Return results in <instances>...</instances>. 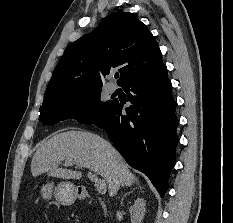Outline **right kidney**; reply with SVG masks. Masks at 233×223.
<instances>
[{
    "mask_svg": "<svg viewBox=\"0 0 233 223\" xmlns=\"http://www.w3.org/2000/svg\"><path fill=\"white\" fill-rule=\"evenodd\" d=\"M146 211V199L144 197H137L133 205L129 207V213L132 223H142Z\"/></svg>",
    "mask_w": 233,
    "mask_h": 223,
    "instance_id": "ca27d5eb",
    "label": "right kidney"
}]
</instances>
